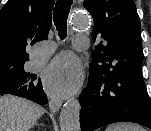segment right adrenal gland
<instances>
[{"instance_id": "right-adrenal-gland-1", "label": "right adrenal gland", "mask_w": 151, "mask_h": 131, "mask_svg": "<svg viewBox=\"0 0 151 131\" xmlns=\"http://www.w3.org/2000/svg\"><path fill=\"white\" fill-rule=\"evenodd\" d=\"M35 125H39V124L35 123ZM41 126H43V125H41Z\"/></svg>"}]
</instances>
